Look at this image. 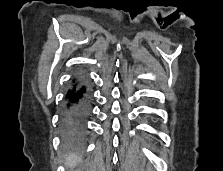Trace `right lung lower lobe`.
<instances>
[{
    "instance_id": "obj_1",
    "label": "right lung lower lobe",
    "mask_w": 223,
    "mask_h": 171,
    "mask_svg": "<svg viewBox=\"0 0 223 171\" xmlns=\"http://www.w3.org/2000/svg\"><path fill=\"white\" fill-rule=\"evenodd\" d=\"M88 113L86 89L80 83H74L66 95L64 110V134L68 137H80L84 130V121Z\"/></svg>"
}]
</instances>
